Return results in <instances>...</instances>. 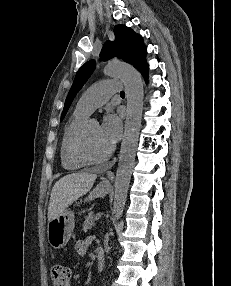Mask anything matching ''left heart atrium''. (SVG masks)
I'll return each instance as SVG.
<instances>
[{
	"label": "left heart atrium",
	"mask_w": 231,
	"mask_h": 286,
	"mask_svg": "<svg viewBox=\"0 0 231 286\" xmlns=\"http://www.w3.org/2000/svg\"><path fill=\"white\" fill-rule=\"evenodd\" d=\"M100 131L112 146L121 136L122 124L120 117L115 113H108L100 125Z\"/></svg>",
	"instance_id": "left-heart-atrium-1"
}]
</instances>
